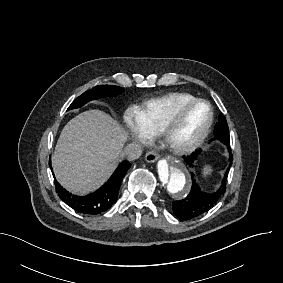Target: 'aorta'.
<instances>
[{
    "label": "aorta",
    "instance_id": "1",
    "mask_svg": "<svg viewBox=\"0 0 283 283\" xmlns=\"http://www.w3.org/2000/svg\"><path fill=\"white\" fill-rule=\"evenodd\" d=\"M157 179L161 193L177 200L185 199L191 187V177L186 165L172 156L158 162Z\"/></svg>",
    "mask_w": 283,
    "mask_h": 283
}]
</instances>
